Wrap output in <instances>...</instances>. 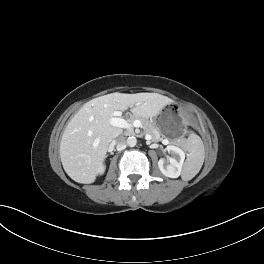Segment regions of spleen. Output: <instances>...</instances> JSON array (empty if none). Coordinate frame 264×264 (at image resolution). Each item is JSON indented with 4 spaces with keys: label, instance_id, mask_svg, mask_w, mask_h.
Returning a JSON list of instances; mask_svg holds the SVG:
<instances>
[{
    "label": "spleen",
    "instance_id": "1",
    "mask_svg": "<svg viewBox=\"0 0 264 264\" xmlns=\"http://www.w3.org/2000/svg\"><path fill=\"white\" fill-rule=\"evenodd\" d=\"M186 149L189 154L183 168L182 179L188 181L200 171L204 162L205 151L201 138L193 132L187 138Z\"/></svg>",
    "mask_w": 264,
    "mask_h": 264
}]
</instances>
